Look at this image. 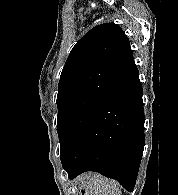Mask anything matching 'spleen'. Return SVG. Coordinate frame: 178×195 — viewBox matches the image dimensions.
I'll return each mask as SVG.
<instances>
[{"mask_svg":"<svg viewBox=\"0 0 178 195\" xmlns=\"http://www.w3.org/2000/svg\"><path fill=\"white\" fill-rule=\"evenodd\" d=\"M81 187L87 195H121L117 182L107 179L100 174L90 173L80 179Z\"/></svg>","mask_w":178,"mask_h":195,"instance_id":"obj_1","label":"spleen"}]
</instances>
